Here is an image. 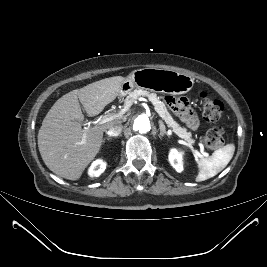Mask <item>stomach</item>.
I'll use <instances>...</instances> for the list:
<instances>
[{
    "mask_svg": "<svg viewBox=\"0 0 267 267\" xmlns=\"http://www.w3.org/2000/svg\"><path fill=\"white\" fill-rule=\"evenodd\" d=\"M193 85L194 79L189 75L169 69L143 68L125 79L119 96L124 97L135 88L180 95L189 92Z\"/></svg>",
    "mask_w": 267,
    "mask_h": 267,
    "instance_id": "1",
    "label": "stomach"
}]
</instances>
